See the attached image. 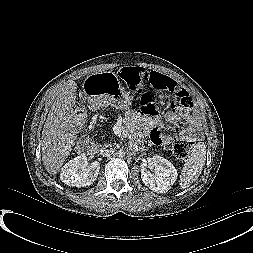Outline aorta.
Returning a JSON list of instances; mask_svg holds the SVG:
<instances>
[{
  "instance_id": "aorta-1",
  "label": "aorta",
  "mask_w": 253,
  "mask_h": 253,
  "mask_svg": "<svg viewBox=\"0 0 253 253\" xmlns=\"http://www.w3.org/2000/svg\"><path fill=\"white\" fill-rule=\"evenodd\" d=\"M117 154H118L120 157H123V156L126 154V151H125L123 148H120V149L117 151Z\"/></svg>"
}]
</instances>
